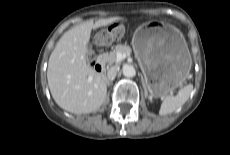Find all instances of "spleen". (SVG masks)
Segmentation results:
<instances>
[{
	"mask_svg": "<svg viewBox=\"0 0 230 155\" xmlns=\"http://www.w3.org/2000/svg\"><path fill=\"white\" fill-rule=\"evenodd\" d=\"M192 90L193 85L189 84L181 88L176 96H166L161 104L159 114L161 116L171 114L178 108L182 107L188 100Z\"/></svg>",
	"mask_w": 230,
	"mask_h": 155,
	"instance_id": "1",
	"label": "spleen"
}]
</instances>
